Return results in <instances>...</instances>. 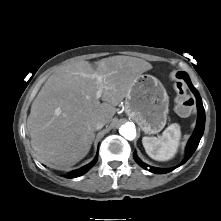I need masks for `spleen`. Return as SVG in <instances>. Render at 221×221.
Returning a JSON list of instances; mask_svg holds the SVG:
<instances>
[{
  "label": "spleen",
  "mask_w": 221,
  "mask_h": 221,
  "mask_svg": "<svg viewBox=\"0 0 221 221\" xmlns=\"http://www.w3.org/2000/svg\"><path fill=\"white\" fill-rule=\"evenodd\" d=\"M181 139L180 126L173 123L168 126L162 136L142 138V144L146 153L154 160L168 161L177 153Z\"/></svg>",
  "instance_id": "obj_1"
}]
</instances>
